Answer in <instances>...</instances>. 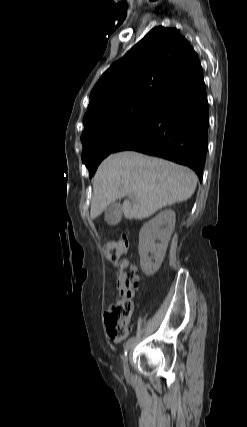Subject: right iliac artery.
<instances>
[{
	"mask_svg": "<svg viewBox=\"0 0 247 427\" xmlns=\"http://www.w3.org/2000/svg\"><path fill=\"white\" fill-rule=\"evenodd\" d=\"M134 341V337H131L130 339H128V341L125 343V347H124V353L125 355L127 354V351L129 349V347L131 346L132 342Z\"/></svg>",
	"mask_w": 247,
	"mask_h": 427,
	"instance_id": "right-iliac-artery-1",
	"label": "right iliac artery"
}]
</instances>
